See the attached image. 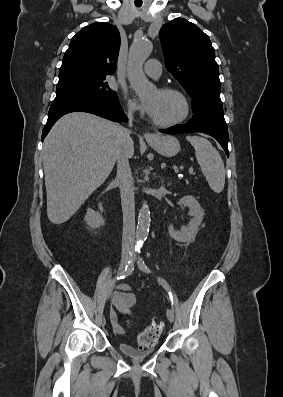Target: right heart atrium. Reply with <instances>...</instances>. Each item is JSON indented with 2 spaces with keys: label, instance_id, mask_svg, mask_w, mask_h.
<instances>
[{
  "label": "right heart atrium",
  "instance_id": "d8ad5b80",
  "mask_svg": "<svg viewBox=\"0 0 283 397\" xmlns=\"http://www.w3.org/2000/svg\"><path fill=\"white\" fill-rule=\"evenodd\" d=\"M125 110H126L127 114H129V115H132L136 111L135 105L133 104L132 101H130L128 99L126 100Z\"/></svg>",
  "mask_w": 283,
  "mask_h": 397
}]
</instances>
